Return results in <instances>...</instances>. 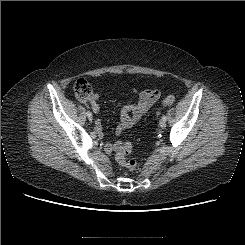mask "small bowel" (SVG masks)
<instances>
[{"label": "small bowel", "mask_w": 245, "mask_h": 245, "mask_svg": "<svg viewBox=\"0 0 245 245\" xmlns=\"http://www.w3.org/2000/svg\"><path fill=\"white\" fill-rule=\"evenodd\" d=\"M138 97V102L134 103V99ZM160 98V91L158 89H145L138 91L132 88L130 95L126 99H119L118 103L122 106L121 123L118 131L125 130L140 121L142 116L157 102ZM96 94L91 95L87 103L91 106L94 113L99 114L100 106L97 101ZM119 143H108L105 145V152L111 154L117 149Z\"/></svg>", "instance_id": "1"}]
</instances>
